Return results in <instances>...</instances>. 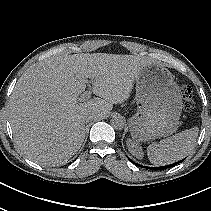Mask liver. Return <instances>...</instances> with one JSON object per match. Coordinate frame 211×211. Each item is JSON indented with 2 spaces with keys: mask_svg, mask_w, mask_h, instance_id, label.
<instances>
[{
  "mask_svg": "<svg viewBox=\"0 0 211 211\" xmlns=\"http://www.w3.org/2000/svg\"><path fill=\"white\" fill-rule=\"evenodd\" d=\"M147 59L107 53L51 57L17 81L9 109L16 145L35 163L63 165L85 138V116H108L129 97ZM90 79L98 96L79 101Z\"/></svg>",
  "mask_w": 211,
  "mask_h": 211,
  "instance_id": "liver-1",
  "label": "liver"
}]
</instances>
